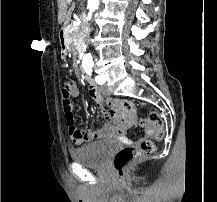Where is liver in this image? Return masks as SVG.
<instances>
[{
    "label": "liver",
    "mask_w": 217,
    "mask_h": 202,
    "mask_svg": "<svg viewBox=\"0 0 217 202\" xmlns=\"http://www.w3.org/2000/svg\"><path fill=\"white\" fill-rule=\"evenodd\" d=\"M72 0H57L58 4V22L59 24H68L71 14L72 8L68 10V4H71Z\"/></svg>",
    "instance_id": "liver-1"
}]
</instances>
